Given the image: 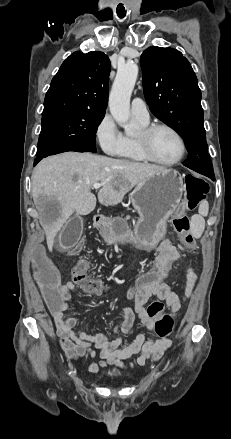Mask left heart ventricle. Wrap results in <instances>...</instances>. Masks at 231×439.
Returning a JSON list of instances; mask_svg holds the SVG:
<instances>
[{"label": "left heart ventricle", "mask_w": 231, "mask_h": 439, "mask_svg": "<svg viewBox=\"0 0 231 439\" xmlns=\"http://www.w3.org/2000/svg\"><path fill=\"white\" fill-rule=\"evenodd\" d=\"M150 149L155 158L165 162L174 160L180 153L177 138L165 129H159L152 134Z\"/></svg>", "instance_id": "left-heart-ventricle-1"}]
</instances>
